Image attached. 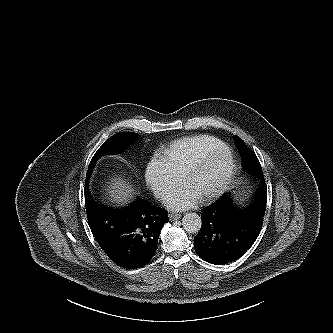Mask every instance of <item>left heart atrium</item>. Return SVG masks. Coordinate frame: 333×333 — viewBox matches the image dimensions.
<instances>
[{"mask_svg": "<svg viewBox=\"0 0 333 333\" xmlns=\"http://www.w3.org/2000/svg\"><path fill=\"white\" fill-rule=\"evenodd\" d=\"M200 196L189 186H182L171 192L166 198V205L173 210H184L193 207Z\"/></svg>", "mask_w": 333, "mask_h": 333, "instance_id": "39dd6f15", "label": "left heart atrium"}]
</instances>
